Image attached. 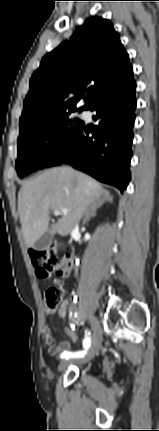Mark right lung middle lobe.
I'll return each instance as SVG.
<instances>
[{
    "mask_svg": "<svg viewBox=\"0 0 159 431\" xmlns=\"http://www.w3.org/2000/svg\"><path fill=\"white\" fill-rule=\"evenodd\" d=\"M70 110L20 130L16 169L20 178L46 167L49 160L83 123ZM80 112V111H79Z\"/></svg>",
    "mask_w": 159,
    "mask_h": 431,
    "instance_id": "right-lung-middle-lobe-1",
    "label": "right lung middle lobe"
}]
</instances>
